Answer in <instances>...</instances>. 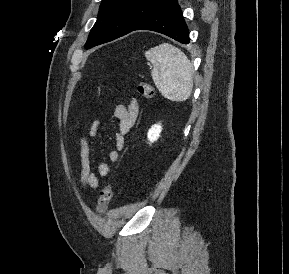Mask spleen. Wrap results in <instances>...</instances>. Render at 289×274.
<instances>
[{
  "label": "spleen",
  "mask_w": 289,
  "mask_h": 274,
  "mask_svg": "<svg viewBox=\"0 0 289 274\" xmlns=\"http://www.w3.org/2000/svg\"><path fill=\"white\" fill-rule=\"evenodd\" d=\"M152 63V79L159 92L171 101L187 100L193 89V66L177 47L162 43L145 52Z\"/></svg>",
  "instance_id": "1"
}]
</instances>
